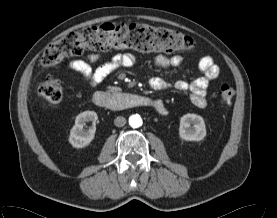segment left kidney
<instances>
[{
	"label": "left kidney",
	"mask_w": 277,
	"mask_h": 218,
	"mask_svg": "<svg viewBox=\"0 0 277 218\" xmlns=\"http://www.w3.org/2000/svg\"><path fill=\"white\" fill-rule=\"evenodd\" d=\"M179 136L185 141H200L206 136L204 119L197 114H185L180 119Z\"/></svg>",
	"instance_id": "left-kidney-1"
}]
</instances>
